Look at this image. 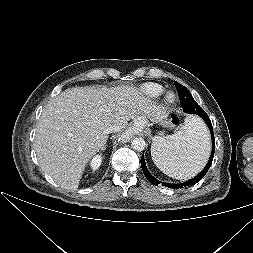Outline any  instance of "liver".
Returning a JSON list of instances; mask_svg holds the SVG:
<instances>
[{"label":"liver","instance_id":"6515ba94","mask_svg":"<svg viewBox=\"0 0 253 253\" xmlns=\"http://www.w3.org/2000/svg\"><path fill=\"white\" fill-rule=\"evenodd\" d=\"M161 109L138 88L73 87L49 100L36 127L34 147L41 169L58 185L76 190L89 160L106 143L108 128L144 127Z\"/></svg>","mask_w":253,"mask_h":253}]
</instances>
